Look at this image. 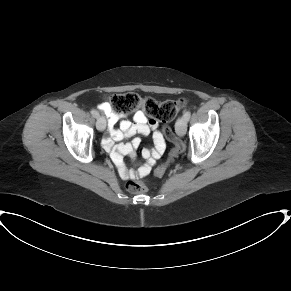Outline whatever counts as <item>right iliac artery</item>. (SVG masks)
Wrapping results in <instances>:
<instances>
[{
	"label": "right iliac artery",
	"instance_id": "obj_1",
	"mask_svg": "<svg viewBox=\"0 0 291 291\" xmlns=\"http://www.w3.org/2000/svg\"><path fill=\"white\" fill-rule=\"evenodd\" d=\"M91 114H92L95 118L99 117V113H98L95 109H92V110H91Z\"/></svg>",
	"mask_w": 291,
	"mask_h": 291
}]
</instances>
